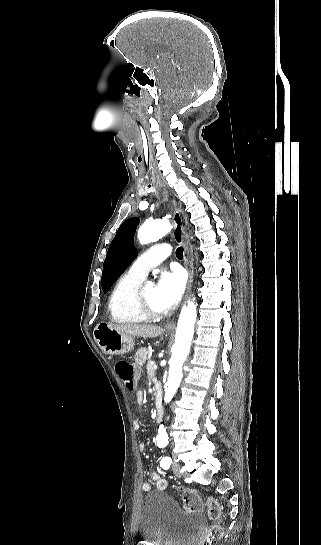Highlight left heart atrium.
Wrapping results in <instances>:
<instances>
[{
	"label": "left heart atrium",
	"instance_id": "39dd6f15",
	"mask_svg": "<svg viewBox=\"0 0 321 545\" xmlns=\"http://www.w3.org/2000/svg\"><path fill=\"white\" fill-rule=\"evenodd\" d=\"M185 289V276L180 269L162 271L156 285V303L161 312L171 311Z\"/></svg>",
	"mask_w": 321,
	"mask_h": 545
}]
</instances>
